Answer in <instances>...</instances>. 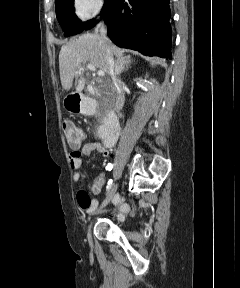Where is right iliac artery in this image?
Segmentation results:
<instances>
[{
    "mask_svg": "<svg viewBox=\"0 0 240 288\" xmlns=\"http://www.w3.org/2000/svg\"><path fill=\"white\" fill-rule=\"evenodd\" d=\"M112 167H113L112 164H108L107 167H106V169H107V170H111ZM112 184H113V180L110 179V180L108 181V184H107V187H106L107 192L111 189Z\"/></svg>",
    "mask_w": 240,
    "mask_h": 288,
    "instance_id": "82829eb1",
    "label": "right iliac artery"
}]
</instances>
